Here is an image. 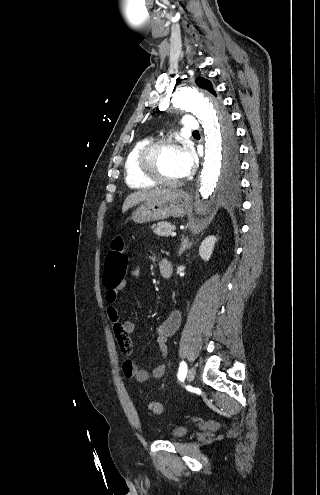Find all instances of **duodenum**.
Instances as JSON below:
<instances>
[{"label": "duodenum", "mask_w": 320, "mask_h": 495, "mask_svg": "<svg viewBox=\"0 0 320 495\" xmlns=\"http://www.w3.org/2000/svg\"><path fill=\"white\" fill-rule=\"evenodd\" d=\"M160 274L164 279L171 278L173 274V264L169 259H162L159 263Z\"/></svg>", "instance_id": "1"}]
</instances>
